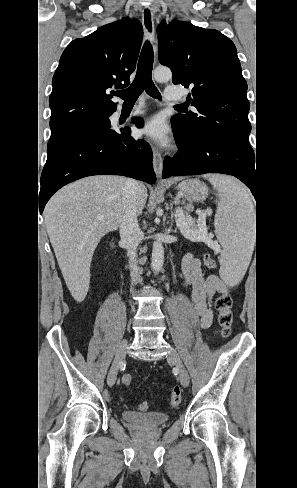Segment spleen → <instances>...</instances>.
<instances>
[{
	"label": "spleen",
	"instance_id": "spleen-1",
	"mask_svg": "<svg viewBox=\"0 0 297 488\" xmlns=\"http://www.w3.org/2000/svg\"><path fill=\"white\" fill-rule=\"evenodd\" d=\"M218 192L215 232L222 246L220 276L228 284L240 282L250 263L255 242V211L248 191L234 178L203 176Z\"/></svg>",
	"mask_w": 297,
	"mask_h": 488
}]
</instances>
